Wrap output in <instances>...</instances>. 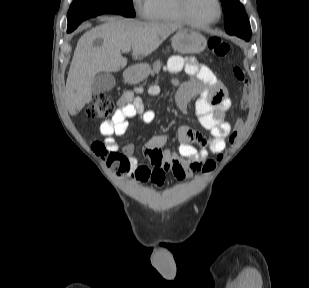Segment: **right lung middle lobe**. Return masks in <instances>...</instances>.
<instances>
[{
  "label": "right lung middle lobe",
  "instance_id": "dd1d6c3e",
  "mask_svg": "<svg viewBox=\"0 0 309 288\" xmlns=\"http://www.w3.org/2000/svg\"><path fill=\"white\" fill-rule=\"evenodd\" d=\"M104 13L135 17L132 0H73L68 13V32L82 21Z\"/></svg>",
  "mask_w": 309,
  "mask_h": 288
}]
</instances>
